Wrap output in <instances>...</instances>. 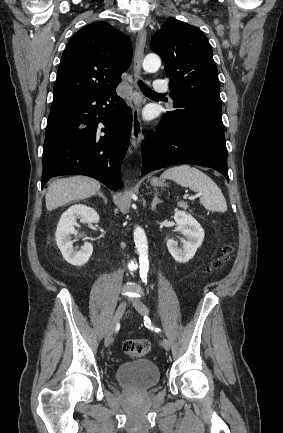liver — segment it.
Masks as SVG:
<instances>
[{
	"label": "liver",
	"instance_id": "liver-1",
	"mask_svg": "<svg viewBox=\"0 0 283 433\" xmlns=\"http://www.w3.org/2000/svg\"><path fill=\"white\" fill-rule=\"evenodd\" d=\"M100 182L89 178V176H69V178H59L54 180L48 186L46 192V208L53 210L57 206L72 202V200H81V198H88L92 194L98 192Z\"/></svg>",
	"mask_w": 283,
	"mask_h": 433
}]
</instances>
